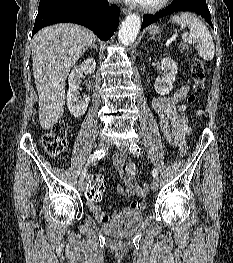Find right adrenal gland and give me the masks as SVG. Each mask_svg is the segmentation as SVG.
I'll return each mask as SVG.
<instances>
[{
  "instance_id": "2a0ac1e0",
  "label": "right adrenal gland",
  "mask_w": 233,
  "mask_h": 263,
  "mask_svg": "<svg viewBox=\"0 0 233 263\" xmlns=\"http://www.w3.org/2000/svg\"><path fill=\"white\" fill-rule=\"evenodd\" d=\"M95 49L96 51H98L97 46L95 45V42L92 43V45L90 46V49Z\"/></svg>"
}]
</instances>
